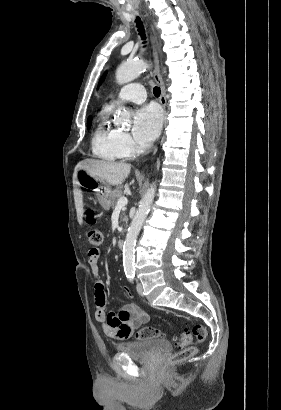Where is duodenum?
Wrapping results in <instances>:
<instances>
[{"label": "duodenum", "instance_id": "1", "mask_svg": "<svg viewBox=\"0 0 281 410\" xmlns=\"http://www.w3.org/2000/svg\"><path fill=\"white\" fill-rule=\"evenodd\" d=\"M117 247H118L119 249H122V248L124 247V240H119V241L117 242Z\"/></svg>", "mask_w": 281, "mask_h": 410}]
</instances>
